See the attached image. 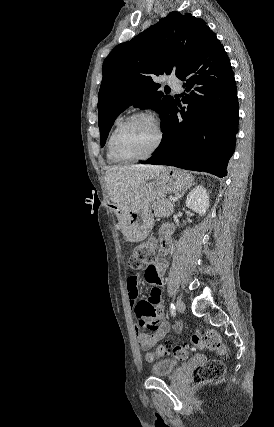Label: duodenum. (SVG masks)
I'll use <instances>...</instances> for the list:
<instances>
[{
    "mask_svg": "<svg viewBox=\"0 0 274 427\" xmlns=\"http://www.w3.org/2000/svg\"><path fill=\"white\" fill-rule=\"evenodd\" d=\"M171 233H172V229L170 227H166L162 230L163 240L161 245V251L163 253H167L170 249Z\"/></svg>",
    "mask_w": 274,
    "mask_h": 427,
    "instance_id": "1",
    "label": "duodenum"
}]
</instances>
